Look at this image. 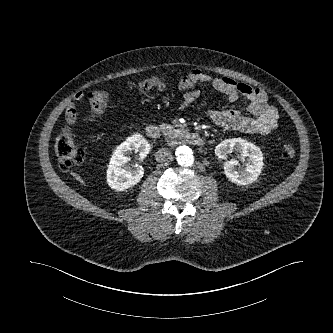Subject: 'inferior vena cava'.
I'll list each match as a JSON object with an SVG mask.
<instances>
[{
    "mask_svg": "<svg viewBox=\"0 0 333 333\" xmlns=\"http://www.w3.org/2000/svg\"><path fill=\"white\" fill-rule=\"evenodd\" d=\"M155 157L158 163H166L172 160V152L167 148H162L157 151Z\"/></svg>",
    "mask_w": 333,
    "mask_h": 333,
    "instance_id": "inferior-vena-cava-1",
    "label": "inferior vena cava"
}]
</instances>
